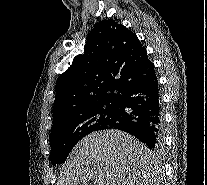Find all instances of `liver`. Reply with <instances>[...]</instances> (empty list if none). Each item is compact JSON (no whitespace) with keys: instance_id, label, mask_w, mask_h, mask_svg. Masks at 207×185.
Listing matches in <instances>:
<instances>
[{"instance_id":"1","label":"liver","mask_w":207,"mask_h":185,"mask_svg":"<svg viewBox=\"0 0 207 185\" xmlns=\"http://www.w3.org/2000/svg\"><path fill=\"white\" fill-rule=\"evenodd\" d=\"M154 155L141 141L118 129L81 139L71 151L59 185H154Z\"/></svg>"}]
</instances>
